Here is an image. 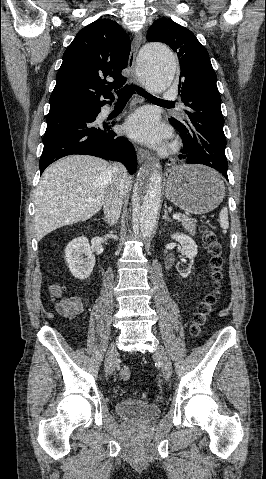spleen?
<instances>
[{
  "mask_svg": "<svg viewBox=\"0 0 266 479\" xmlns=\"http://www.w3.org/2000/svg\"><path fill=\"white\" fill-rule=\"evenodd\" d=\"M219 219H220V226L223 229V234H226L227 229L229 227V221H228V210L227 208H223L220 213H219Z\"/></svg>",
  "mask_w": 266,
  "mask_h": 479,
  "instance_id": "spleen-1",
  "label": "spleen"
}]
</instances>
